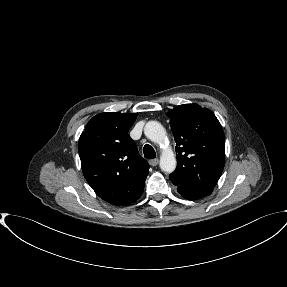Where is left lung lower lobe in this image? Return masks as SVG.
<instances>
[{"instance_id": "left-lung-lower-lobe-1", "label": "left lung lower lobe", "mask_w": 287, "mask_h": 287, "mask_svg": "<svg viewBox=\"0 0 287 287\" xmlns=\"http://www.w3.org/2000/svg\"><path fill=\"white\" fill-rule=\"evenodd\" d=\"M178 192L182 195V197H184L185 199H189V200L199 199V198L206 196L204 194H195V193H190V192L183 191V190H178Z\"/></svg>"}]
</instances>
